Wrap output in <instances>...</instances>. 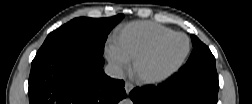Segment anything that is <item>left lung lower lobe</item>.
Masks as SVG:
<instances>
[{"mask_svg":"<svg viewBox=\"0 0 252 104\" xmlns=\"http://www.w3.org/2000/svg\"><path fill=\"white\" fill-rule=\"evenodd\" d=\"M219 81L216 67L179 70L158 86L134 88V104H217Z\"/></svg>","mask_w":252,"mask_h":104,"instance_id":"1","label":"left lung lower lobe"}]
</instances>
